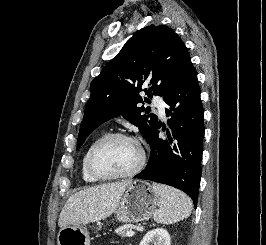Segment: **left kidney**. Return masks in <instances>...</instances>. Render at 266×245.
I'll return each instance as SVG.
<instances>
[{
    "mask_svg": "<svg viewBox=\"0 0 266 245\" xmlns=\"http://www.w3.org/2000/svg\"><path fill=\"white\" fill-rule=\"evenodd\" d=\"M140 245H171L170 235L166 229H153L146 233Z\"/></svg>",
    "mask_w": 266,
    "mask_h": 245,
    "instance_id": "left-kidney-1",
    "label": "left kidney"
}]
</instances>
